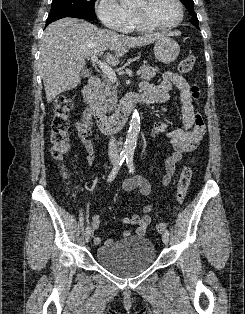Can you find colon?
<instances>
[{"mask_svg": "<svg viewBox=\"0 0 245 314\" xmlns=\"http://www.w3.org/2000/svg\"><path fill=\"white\" fill-rule=\"evenodd\" d=\"M195 63V56L188 55L180 61L178 70L183 74L189 73L192 71ZM72 106L71 99L65 95L58 96L54 102L49 140L51 144V156L58 162H62L70 151L68 114L71 111ZM192 175L193 170L190 166H186L182 169L177 188V201L179 203L184 200L187 194ZM167 226V223H158L156 225V231L162 233Z\"/></svg>", "mask_w": 245, "mask_h": 314, "instance_id": "colon-1", "label": "colon"}]
</instances>
